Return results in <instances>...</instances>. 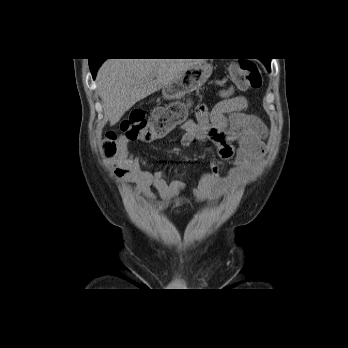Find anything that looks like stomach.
Segmentation results:
<instances>
[{"mask_svg":"<svg viewBox=\"0 0 348 348\" xmlns=\"http://www.w3.org/2000/svg\"><path fill=\"white\" fill-rule=\"evenodd\" d=\"M213 67L201 61L184 72L162 88L165 99L184 98L186 94L200 89L212 74Z\"/></svg>","mask_w":348,"mask_h":348,"instance_id":"obj_1","label":"stomach"}]
</instances>
